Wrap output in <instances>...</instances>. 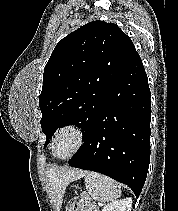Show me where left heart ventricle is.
Instances as JSON below:
<instances>
[{
  "instance_id": "obj_1",
  "label": "left heart ventricle",
  "mask_w": 178,
  "mask_h": 211,
  "mask_svg": "<svg viewBox=\"0 0 178 211\" xmlns=\"http://www.w3.org/2000/svg\"><path fill=\"white\" fill-rule=\"evenodd\" d=\"M76 138L73 133L65 132L61 134L55 143V151L59 156L68 154L75 146Z\"/></svg>"
}]
</instances>
